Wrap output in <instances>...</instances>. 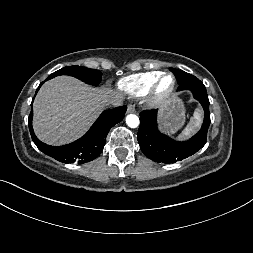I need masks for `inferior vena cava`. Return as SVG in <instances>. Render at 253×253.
I'll return each mask as SVG.
<instances>
[{"label":"inferior vena cava","mask_w":253,"mask_h":253,"mask_svg":"<svg viewBox=\"0 0 253 253\" xmlns=\"http://www.w3.org/2000/svg\"><path fill=\"white\" fill-rule=\"evenodd\" d=\"M107 104L109 105V107H118L122 105V100L110 99Z\"/></svg>","instance_id":"inferior-vena-cava-1"}]
</instances>
